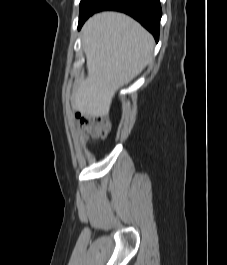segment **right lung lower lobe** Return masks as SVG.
I'll use <instances>...</instances> for the list:
<instances>
[{
  "label": "right lung lower lobe",
  "instance_id": "1",
  "mask_svg": "<svg viewBox=\"0 0 227 265\" xmlns=\"http://www.w3.org/2000/svg\"><path fill=\"white\" fill-rule=\"evenodd\" d=\"M104 10L120 11L132 16L151 32L158 42L162 16L160 0H103L94 13ZM86 20L79 22V29Z\"/></svg>",
  "mask_w": 227,
  "mask_h": 265
}]
</instances>
